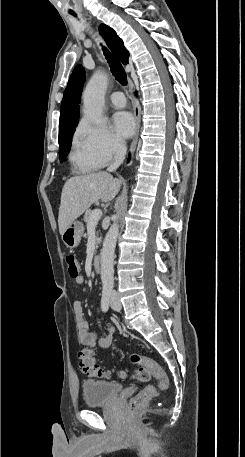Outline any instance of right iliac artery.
Returning <instances> with one entry per match:
<instances>
[{
  "mask_svg": "<svg viewBox=\"0 0 245 457\" xmlns=\"http://www.w3.org/2000/svg\"><path fill=\"white\" fill-rule=\"evenodd\" d=\"M111 292H112V289L110 287L103 288L102 299H101V308L104 312L108 311V309H109Z\"/></svg>",
  "mask_w": 245,
  "mask_h": 457,
  "instance_id": "82829eb1",
  "label": "right iliac artery"
}]
</instances>
